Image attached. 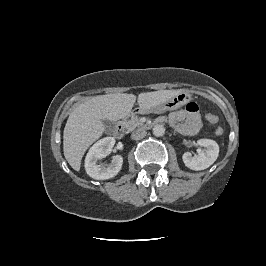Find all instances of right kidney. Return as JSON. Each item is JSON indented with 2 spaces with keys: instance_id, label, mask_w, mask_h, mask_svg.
Wrapping results in <instances>:
<instances>
[{
  "instance_id": "obj_1",
  "label": "right kidney",
  "mask_w": 266,
  "mask_h": 266,
  "mask_svg": "<svg viewBox=\"0 0 266 266\" xmlns=\"http://www.w3.org/2000/svg\"><path fill=\"white\" fill-rule=\"evenodd\" d=\"M115 144L113 137H105L96 142L87 153L85 158L86 173L96 180H106L116 176L122 168L123 158L120 155L113 157L107 166L99 165L102 158L109 155Z\"/></svg>"
}]
</instances>
